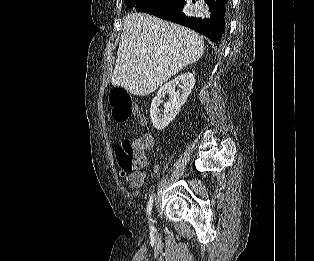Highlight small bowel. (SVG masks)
<instances>
[{
    "instance_id": "small-bowel-1",
    "label": "small bowel",
    "mask_w": 314,
    "mask_h": 261,
    "mask_svg": "<svg viewBox=\"0 0 314 261\" xmlns=\"http://www.w3.org/2000/svg\"><path fill=\"white\" fill-rule=\"evenodd\" d=\"M147 164V157H146V153L143 154V156L141 157L140 163H139V167H145ZM158 171V166H154V169L151 173V175H154L156 172Z\"/></svg>"
}]
</instances>
